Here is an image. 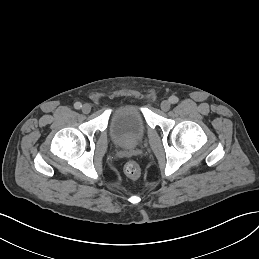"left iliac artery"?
I'll use <instances>...</instances> for the list:
<instances>
[{
    "instance_id": "left-iliac-artery-1",
    "label": "left iliac artery",
    "mask_w": 259,
    "mask_h": 259,
    "mask_svg": "<svg viewBox=\"0 0 259 259\" xmlns=\"http://www.w3.org/2000/svg\"><path fill=\"white\" fill-rule=\"evenodd\" d=\"M169 101H170V103L175 104V103H177L179 101V99L176 96H171L169 98Z\"/></svg>"
}]
</instances>
